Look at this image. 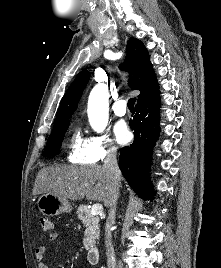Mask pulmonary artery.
Masks as SVG:
<instances>
[{"label": "pulmonary artery", "instance_id": "1", "mask_svg": "<svg viewBox=\"0 0 221 268\" xmlns=\"http://www.w3.org/2000/svg\"><path fill=\"white\" fill-rule=\"evenodd\" d=\"M113 112L117 116H124L127 112L126 101L125 100L116 101L113 105Z\"/></svg>", "mask_w": 221, "mask_h": 268}]
</instances>
